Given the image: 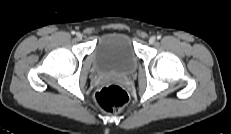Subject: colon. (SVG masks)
Returning a JSON list of instances; mask_svg holds the SVG:
<instances>
[{
    "label": "colon",
    "instance_id": "colon-1",
    "mask_svg": "<svg viewBox=\"0 0 231 134\" xmlns=\"http://www.w3.org/2000/svg\"><path fill=\"white\" fill-rule=\"evenodd\" d=\"M98 107L108 114L120 112L128 103L126 91L117 84L102 87L94 97Z\"/></svg>",
    "mask_w": 231,
    "mask_h": 134
}]
</instances>
